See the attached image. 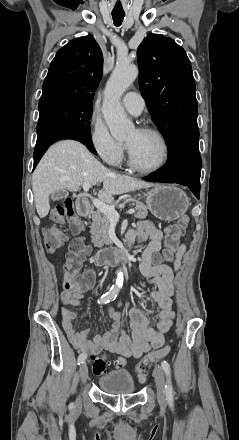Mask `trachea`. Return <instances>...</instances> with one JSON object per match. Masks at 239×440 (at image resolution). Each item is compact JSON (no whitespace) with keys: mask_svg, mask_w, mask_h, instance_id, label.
<instances>
[{"mask_svg":"<svg viewBox=\"0 0 239 440\" xmlns=\"http://www.w3.org/2000/svg\"><path fill=\"white\" fill-rule=\"evenodd\" d=\"M112 17L114 24L118 27L119 25H121L125 17V13H112Z\"/></svg>","mask_w":239,"mask_h":440,"instance_id":"trachea-1","label":"trachea"}]
</instances>
